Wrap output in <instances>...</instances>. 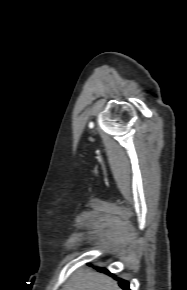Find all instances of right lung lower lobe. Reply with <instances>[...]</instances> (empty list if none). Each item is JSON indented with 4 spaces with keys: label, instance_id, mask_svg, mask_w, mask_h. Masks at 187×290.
I'll return each mask as SVG.
<instances>
[{
    "label": "right lung lower lobe",
    "instance_id": "98d812e1",
    "mask_svg": "<svg viewBox=\"0 0 187 290\" xmlns=\"http://www.w3.org/2000/svg\"><path fill=\"white\" fill-rule=\"evenodd\" d=\"M101 271H103V272H106V273H108L106 270H101ZM119 284H120V286L124 289V290H130L129 289V283L127 282V281H125V280H119Z\"/></svg>",
    "mask_w": 187,
    "mask_h": 290
}]
</instances>
